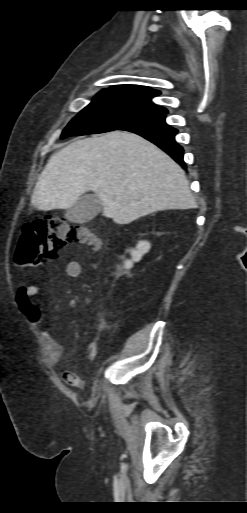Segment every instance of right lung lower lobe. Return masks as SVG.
Returning a JSON list of instances; mask_svg holds the SVG:
<instances>
[{
    "label": "right lung lower lobe",
    "mask_w": 247,
    "mask_h": 513,
    "mask_svg": "<svg viewBox=\"0 0 247 513\" xmlns=\"http://www.w3.org/2000/svg\"><path fill=\"white\" fill-rule=\"evenodd\" d=\"M121 130L136 133L147 140L151 141L163 151L169 154L184 169L186 165L183 161V148L176 143L174 136L178 132L177 129L170 127L165 122V115L136 122L123 127Z\"/></svg>",
    "instance_id": "obj_1"
}]
</instances>
